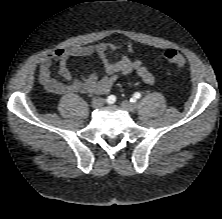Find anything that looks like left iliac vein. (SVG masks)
Returning a JSON list of instances; mask_svg holds the SVG:
<instances>
[{
	"mask_svg": "<svg viewBox=\"0 0 222 219\" xmlns=\"http://www.w3.org/2000/svg\"><path fill=\"white\" fill-rule=\"evenodd\" d=\"M121 106H122L125 110H127L128 112H130V113H133V112L136 111V106H135V104L132 103V102H130V101H128V100L122 101Z\"/></svg>",
	"mask_w": 222,
	"mask_h": 219,
	"instance_id": "left-iliac-vein-1",
	"label": "left iliac vein"
}]
</instances>
